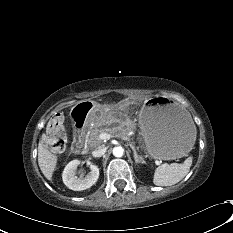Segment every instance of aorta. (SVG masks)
<instances>
[{"mask_svg":"<svg viewBox=\"0 0 233 233\" xmlns=\"http://www.w3.org/2000/svg\"><path fill=\"white\" fill-rule=\"evenodd\" d=\"M124 154V149L121 146H116L113 148V155L115 157H122Z\"/></svg>","mask_w":233,"mask_h":233,"instance_id":"1","label":"aorta"}]
</instances>
